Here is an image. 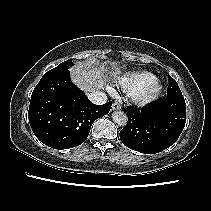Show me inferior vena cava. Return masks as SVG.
I'll use <instances>...</instances> for the list:
<instances>
[{
	"instance_id": "1",
	"label": "inferior vena cava",
	"mask_w": 211,
	"mask_h": 211,
	"mask_svg": "<svg viewBox=\"0 0 211 211\" xmlns=\"http://www.w3.org/2000/svg\"><path fill=\"white\" fill-rule=\"evenodd\" d=\"M89 100L97 105H102L107 102V96L101 91L92 92L88 95Z\"/></svg>"
}]
</instances>
